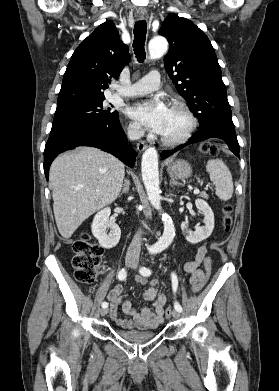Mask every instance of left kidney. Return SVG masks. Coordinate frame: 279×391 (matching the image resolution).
Listing matches in <instances>:
<instances>
[{"label": "left kidney", "instance_id": "1", "mask_svg": "<svg viewBox=\"0 0 279 391\" xmlns=\"http://www.w3.org/2000/svg\"><path fill=\"white\" fill-rule=\"evenodd\" d=\"M195 204L197 209L202 211L204 215L205 225L197 227L193 232L187 228L186 223L181 224V229L185 239L192 244H197L208 238L214 229V213L208 203L202 199H196Z\"/></svg>", "mask_w": 279, "mask_h": 391}]
</instances>
